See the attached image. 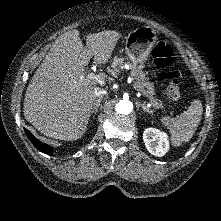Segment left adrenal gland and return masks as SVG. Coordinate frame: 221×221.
I'll list each match as a JSON object with an SVG mask.
<instances>
[{"label": "left adrenal gland", "mask_w": 221, "mask_h": 221, "mask_svg": "<svg viewBox=\"0 0 221 221\" xmlns=\"http://www.w3.org/2000/svg\"><path fill=\"white\" fill-rule=\"evenodd\" d=\"M141 107H142V109H143V111H144V112H148V113H150V114H152V113H153V111H152V110H150L148 107H146V105H145V104H141Z\"/></svg>", "instance_id": "left-adrenal-gland-1"}]
</instances>
